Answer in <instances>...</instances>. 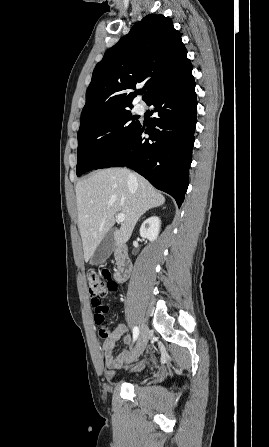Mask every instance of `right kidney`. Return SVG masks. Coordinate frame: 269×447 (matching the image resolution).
Wrapping results in <instances>:
<instances>
[{
    "label": "right kidney",
    "instance_id": "right-kidney-1",
    "mask_svg": "<svg viewBox=\"0 0 269 447\" xmlns=\"http://www.w3.org/2000/svg\"><path fill=\"white\" fill-rule=\"evenodd\" d=\"M160 224L161 220L157 216H152V218L145 220L140 227L141 237H147L149 241H155L159 235Z\"/></svg>",
    "mask_w": 269,
    "mask_h": 447
}]
</instances>
